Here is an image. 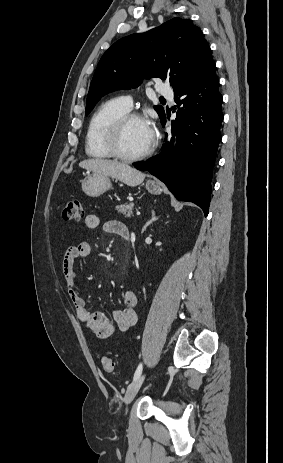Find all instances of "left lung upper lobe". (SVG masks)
Segmentation results:
<instances>
[{"label":"left lung upper lobe","instance_id":"obj_1","mask_svg":"<svg viewBox=\"0 0 283 463\" xmlns=\"http://www.w3.org/2000/svg\"><path fill=\"white\" fill-rule=\"evenodd\" d=\"M213 62L201 30L188 19L173 18L146 33L116 41L102 56L86 101L88 115L105 94L137 87L144 78L169 79L175 90ZM161 121L164 109L155 106Z\"/></svg>","mask_w":283,"mask_h":463}]
</instances>
